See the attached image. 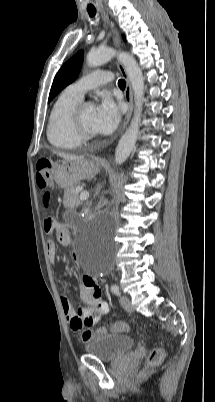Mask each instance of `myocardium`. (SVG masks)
Instances as JSON below:
<instances>
[{"label": "myocardium", "instance_id": "1", "mask_svg": "<svg viewBox=\"0 0 215 402\" xmlns=\"http://www.w3.org/2000/svg\"><path fill=\"white\" fill-rule=\"evenodd\" d=\"M86 104L87 103L82 100L79 101L72 109L70 115L71 127L76 136L82 141L90 140L95 137V133L86 130L81 121V111Z\"/></svg>", "mask_w": 215, "mask_h": 402}]
</instances>
